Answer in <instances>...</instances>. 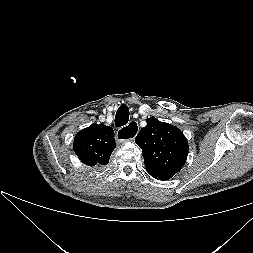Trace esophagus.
<instances>
[{
    "label": "esophagus",
    "instance_id": "esophagus-1",
    "mask_svg": "<svg viewBox=\"0 0 253 253\" xmlns=\"http://www.w3.org/2000/svg\"><path fill=\"white\" fill-rule=\"evenodd\" d=\"M138 131L139 126L137 122L132 121L128 125L120 128L116 133V137L121 142L133 140L136 137Z\"/></svg>",
    "mask_w": 253,
    "mask_h": 253
}]
</instances>
